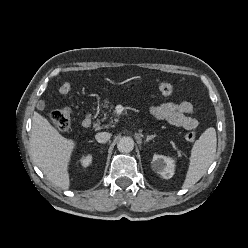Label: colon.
Masks as SVG:
<instances>
[{
    "label": "colon",
    "instance_id": "5ec220e1",
    "mask_svg": "<svg viewBox=\"0 0 248 248\" xmlns=\"http://www.w3.org/2000/svg\"><path fill=\"white\" fill-rule=\"evenodd\" d=\"M174 85L169 82H163L159 85V91L162 95H170L174 92ZM71 92V87L68 83L63 84L59 93L62 96H67ZM50 122L53 127L59 131L66 130L71 125V110L68 107L54 110L50 115ZM185 138L189 142H194L196 139V134L194 131H188L185 134Z\"/></svg>",
    "mask_w": 248,
    "mask_h": 248
}]
</instances>
